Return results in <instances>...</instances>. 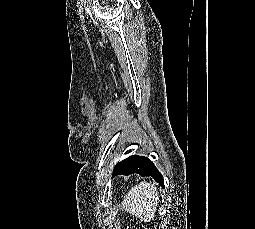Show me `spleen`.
Masks as SVG:
<instances>
[{"label": "spleen", "mask_w": 255, "mask_h": 229, "mask_svg": "<svg viewBox=\"0 0 255 229\" xmlns=\"http://www.w3.org/2000/svg\"><path fill=\"white\" fill-rule=\"evenodd\" d=\"M158 200L156 186L151 182L142 181L125 196L122 207L128 213L148 222L154 217Z\"/></svg>", "instance_id": "spleen-1"}]
</instances>
